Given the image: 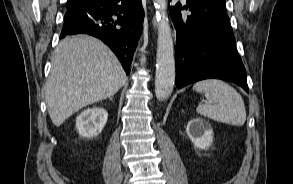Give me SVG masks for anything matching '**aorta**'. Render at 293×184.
I'll return each instance as SVG.
<instances>
[{
	"label": "aorta",
	"instance_id": "aorta-1",
	"mask_svg": "<svg viewBox=\"0 0 293 184\" xmlns=\"http://www.w3.org/2000/svg\"><path fill=\"white\" fill-rule=\"evenodd\" d=\"M155 8L158 18L155 94L159 101H163L171 95L175 82L174 46L166 17L167 1L155 0Z\"/></svg>",
	"mask_w": 293,
	"mask_h": 184
}]
</instances>
